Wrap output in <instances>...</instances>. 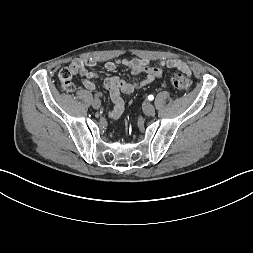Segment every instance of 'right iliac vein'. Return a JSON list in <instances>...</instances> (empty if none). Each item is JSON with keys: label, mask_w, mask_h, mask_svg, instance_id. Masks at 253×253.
<instances>
[{"label": "right iliac vein", "mask_w": 253, "mask_h": 253, "mask_svg": "<svg viewBox=\"0 0 253 253\" xmlns=\"http://www.w3.org/2000/svg\"><path fill=\"white\" fill-rule=\"evenodd\" d=\"M100 106H101V101H100L99 99H94V100L92 101V107H93L94 109H99Z\"/></svg>", "instance_id": "1"}]
</instances>
